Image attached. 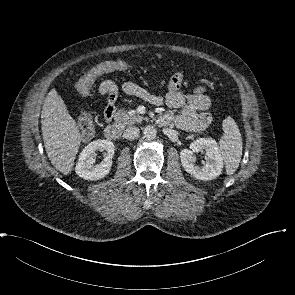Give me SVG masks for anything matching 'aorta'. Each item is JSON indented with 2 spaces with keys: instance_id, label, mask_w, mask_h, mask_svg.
<instances>
[{
  "instance_id": "762f6f07",
  "label": "aorta",
  "mask_w": 295,
  "mask_h": 295,
  "mask_svg": "<svg viewBox=\"0 0 295 295\" xmlns=\"http://www.w3.org/2000/svg\"><path fill=\"white\" fill-rule=\"evenodd\" d=\"M143 134L146 139L152 140L157 135V130L154 126L148 125L144 128Z\"/></svg>"
}]
</instances>
